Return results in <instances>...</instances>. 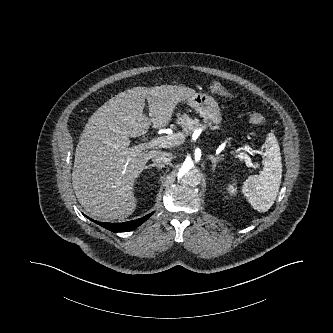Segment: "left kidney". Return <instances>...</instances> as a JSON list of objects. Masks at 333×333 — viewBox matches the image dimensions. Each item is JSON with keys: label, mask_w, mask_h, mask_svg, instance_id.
Here are the masks:
<instances>
[{"label": "left kidney", "mask_w": 333, "mask_h": 333, "mask_svg": "<svg viewBox=\"0 0 333 333\" xmlns=\"http://www.w3.org/2000/svg\"><path fill=\"white\" fill-rule=\"evenodd\" d=\"M228 192L230 195L232 196H236L237 195V188L235 187V184H230L227 188Z\"/></svg>", "instance_id": "left-kidney-1"}]
</instances>
